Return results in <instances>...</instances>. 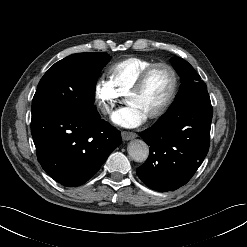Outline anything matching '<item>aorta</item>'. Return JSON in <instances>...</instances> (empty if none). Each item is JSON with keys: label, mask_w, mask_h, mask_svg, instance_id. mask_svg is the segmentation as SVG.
<instances>
[{"label": "aorta", "mask_w": 247, "mask_h": 247, "mask_svg": "<svg viewBox=\"0 0 247 247\" xmlns=\"http://www.w3.org/2000/svg\"><path fill=\"white\" fill-rule=\"evenodd\" d=\"M129 156L136 162H144L149 155V147L143 141L135 139L130 141L127 147Z\"/></svg>", "instance_id": "aorta-1"}]
</instances>
